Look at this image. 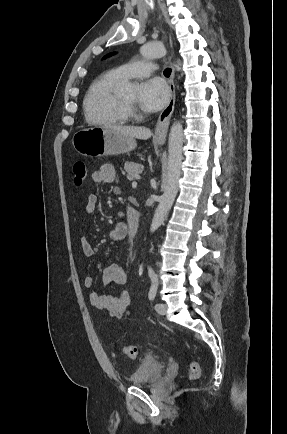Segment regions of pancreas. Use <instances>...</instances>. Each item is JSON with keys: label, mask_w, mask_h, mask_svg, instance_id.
Segmentation results:
<instances>
[{"label": "pancreas", "mask_w": 287, "mask_h": 434, "mask_svg": "<svg viewBox=\"0 0 287 434\" xmlns=\"http://www.w3.org/2000/svg\"><path fill=\"white\" fill-rule=\"evenodd\" d=\"M143 166L134 162H126L124 165V169L127 172V179L132 181L134 178L139 176L142 172Z\"/></svg>", "instance_id": "obj_1"}]
</instances>
